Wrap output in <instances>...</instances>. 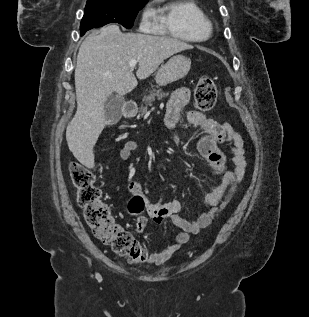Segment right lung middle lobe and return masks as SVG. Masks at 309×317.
Masks as SVG:
<instances>
[{"label":"right lung middle lobe","mask_w":309,"mask_h":317,"mask_svg":"<svg viewBox=\"0 0 309 317\" xmlns=\"http://www.w3.org/2000/svg\"><path fill=\"white\" fill-rule=\"evenodd\" d=\"M148 0H88L81 21V33L109 23L132 28L134 19Z\"/></svg>","instance_id":"dd1d6c3e"}]
</instances>
